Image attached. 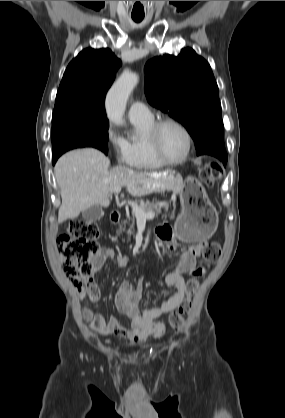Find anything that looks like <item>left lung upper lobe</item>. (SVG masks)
Returning a JSON list of instances; mask_svg holds the SVG:
<instances>
[{"label": "left lung upper lobe", "instance_id": "left-lung-upper-lobe-1", "mask_svg": "<svg viewBox=\"0 0 285 418\" xmlns=\"http://www.w3.org/2000/svg\"><path fill=\"white\" fill-rule=\"evenodd\" d=\"M148 102L182 123L195 141L196 154L218 157L224 164V125L218 86L209 63L192 48L165 54L145 65Z\"/></svg>", "mask_w": 285, "mask_h": 418}]
</instances>
